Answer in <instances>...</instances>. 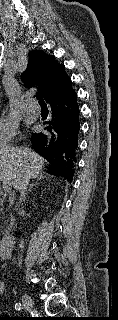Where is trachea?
<instances>
[{
    "label": "trachea",
    "mask_w": 118,
    "mask_h": 320,
    "mask_svg": "<svg viewBox=\"0 0 118 320\" xmlns=\"http://www.w3.org/2000/svg\"><path fill=\"white\" fill-rule=\"evenodd\" d=\"M39 104L41 107H46L47 108V104L45 103L44 99L40 98L39 99Z\"/></svg>",
    "instance_id": "obj_1"
}]
</instances>
